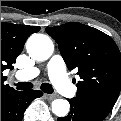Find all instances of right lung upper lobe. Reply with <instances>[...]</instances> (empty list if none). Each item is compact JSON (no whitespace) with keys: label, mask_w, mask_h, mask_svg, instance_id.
Returning a JSON list of instances; mask_svg holds the SVG:
<instances>
[{"label":"right lung upper lobe","mask_w":121,"mask_h":121,"mask_svg":"<svg viewBox=\"0 0 121 121\" xmlns=\"http://www.w3.org/2000/svg\"><path fill=\"white\" fill-rule=\"evenodd\" d=\"M38 26L15 25L1 22V97L15 91L4 84L6 76L5 69H13L12 64L16 62L21 53L26 39L33 33L38 32Z\"/></svg>","instance_id":"right-lung-upper-lobe-1"}]
</instances>
